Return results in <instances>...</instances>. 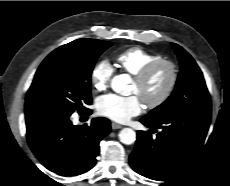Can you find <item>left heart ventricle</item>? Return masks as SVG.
<instances>
[{"label":"left heart ventricle","mask_w":230,"mask_h":186,"mask_svg":"<svg viewBox=\"0 0 230 186\" xmlns=\"http://www.w3.org/2000/svg\"><path fill=\"white\" fill-rule=\"evenodd\" d=\"M169 80V73L166 68L159 69L143 86H138L133 82L132 92L141 98L154 100L165 89Z\"/></svg>","instance_id":"1"}]
</instances>
